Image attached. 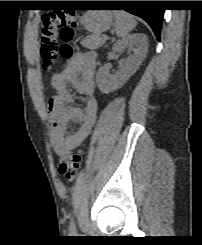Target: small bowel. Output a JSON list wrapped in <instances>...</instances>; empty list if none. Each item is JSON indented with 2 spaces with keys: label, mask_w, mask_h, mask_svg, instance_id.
Here are the masks:
<instances>
[{
  "label": "small bowel",
  "mask_w": 202,
  "mask_h": 245,
  "mask_svg": "<svg viewBox=\"0 0 202 245\" xmlns=\"http://www.w3.org/2000/svg\"><path fill=\"white\" fill-rule=\"evenodd\" d=\"M95 73L94 58L76 53L66 61L61 72L52 76L56 95L48 104L52 121L50 142L58 156L80 147L95 123L99 106L95 96ZM69 83H73L76 92L85 97L83 108L74 104V97L67 90ZM70 125L76 126L77 130L70 132Z\"/></svg>",
  "instance_id": "1"
}]
</instances>
